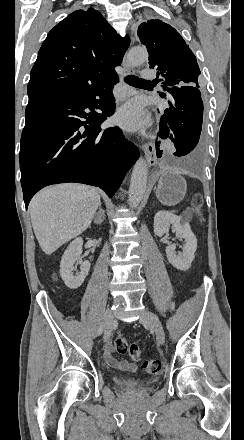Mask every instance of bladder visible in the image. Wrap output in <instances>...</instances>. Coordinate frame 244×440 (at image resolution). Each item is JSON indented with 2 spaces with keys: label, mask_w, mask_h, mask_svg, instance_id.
<instances>
[{
  "label": "bladder",
  "mask_w": 244,
  "mask_h": 440,
  "mask_svg": "<svg viewBox=\"0 0 244 440\" xmlns=\"http://www.w3.org/2000/svg\"><path fill=\"white\" fill-rule=\"evenodd\" d=\"M118 382V385L121 389H140L145 383V380H137L134 383L130 384L124 378L118 377L115 379Z\"/></svg>",
  "instance_id": "obj_1"
}]
</instances>
